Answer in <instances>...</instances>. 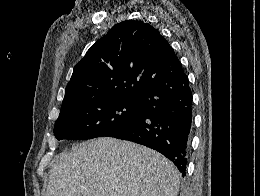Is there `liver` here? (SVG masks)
Segmentation results:
<instances>
[{"label": "liver", "mask_w": 260, "mask_h": 196, "mask_svg": "<svg viewBox=\"0 0 260 196\" xmlns=\"http://www.w3.org/2000/svg\"><path fill=\"white\" fill-rule=\"evenodd\" d=\"M179 172L159 152L98 138L61 154L45 196H178Z\"/></svg>", "instance_id": "6515ba94"}]
</instances>
